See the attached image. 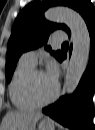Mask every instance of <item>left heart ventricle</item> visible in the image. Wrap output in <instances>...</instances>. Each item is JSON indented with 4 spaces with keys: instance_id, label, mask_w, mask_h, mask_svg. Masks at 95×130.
<instances>
[{
    "instance_id": "1",
    "label": "left heart ventricle",
    "mask_w": 95,
    "mask_h": 130,
    "mask_svg": "<svg viewBox=\"0 0 95 130\" xmlns=\"http://www.w3.org/2000/svg\"><path fill=\"white\" fill-rule=\"evenodd\" d=\"M56 85L51 83L44 72L38 73L34 80V90L40 100H46L55 93Z\"/></svg>"
}]
</instances>
